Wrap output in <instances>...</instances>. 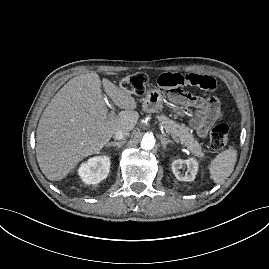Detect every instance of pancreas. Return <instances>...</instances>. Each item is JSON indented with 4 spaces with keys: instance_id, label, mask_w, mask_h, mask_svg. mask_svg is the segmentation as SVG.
Instances as JSON below:
<instances>
[{
    "instance_id": "obj_1",
    "label": "pancreas",
    "mask_w": 269,
    "mask_h": 269,
    "mask_svg": "<svg viewBox=\"0 0 269 269\" xmlns=\"http://www.w3.org/2000/svg\"><path fill=\"white\" fill-rule=\"evenodd\" d=\"M158 120L164 126L166 132L173 138H177L180 143L185 146L194 156L198 158L204 157V152L200 144L195 140L189 129L184 124H178L164 115L158 117Z\"/></svg>"
}]
</instances>
